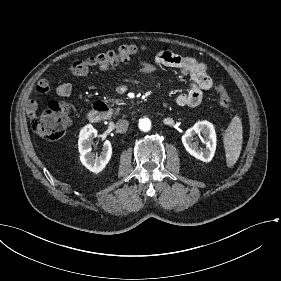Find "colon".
Instances as JSON below:
<instances>
[{
    "instance_id": "colon-1",
    "label": "colon",
    "mask_w": 281,
    "mask_h": 281,
    "mask_svg": "<svg viewBox=\"0 0 281 281\" xmlns=\"http://www.w3.org/2000/svg\"><path fill=\"white\" fill-rule=\"evenodd\" d=\"M143 48L135 45L122 46L117 51L104 53L90 58L87 63L93 69L104 70L127 63L142 53ZM84 62H76V72H81L85 67ZM216 92L222 107L233 105L232 98L223 86L218 85ZM71 122L68 105L63 101H51L42 113L33 119V128L36 134L45 141L59 140Z\"/></svg>"
}]
</instances>
